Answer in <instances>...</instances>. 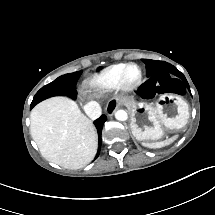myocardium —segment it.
Wrapping results in <instances>:
<instances>
[{"mask_svg":"<svg viewBox=\"0 0 215 215\" xmlns=\"http://www.w3.org/2000/svg\"><path fill=\"white\" fill-rule=\"evenodd\" d=\"M127 68L134 70V76L128 81H124L125 73ZM122 71L115 77L112 90L116 93H128L134 91L142 82V72L140 67L133 62L125 63L122 65Z\"/></svg>","mask_w":215,"mask_h":215,"instance_id":"obj_1","label":"myocardium"}]
</instances>
